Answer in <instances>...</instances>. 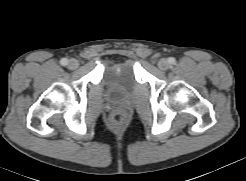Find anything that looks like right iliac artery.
<instances>
[{
    "mask_svg": "<svg viewBox=\"0 0 246 181\" xmlns=\"http://www.w3.org/2000/svg\"><path fill=\"white\" fill-rule=\"evenodd\" d=\"M60 64L63 65V66L67 65L68 64V59H66V58L61 59Z\"/></svg>",
    "mask_w": 246,
    "mask_h": 181,
    "instance_id": "82829eb1",
    "label": "right iliac artery"
}]
</instances>
